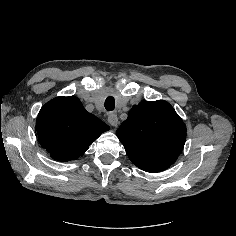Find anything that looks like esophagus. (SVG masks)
I'll return each instance as SVG.
<instances>
[{
  "mask_svg": "<svg viewBox=\"0 0 236 236\" xmlns=\"http://www.w3.org/2000/svg\"><path fill=\"white\" fill-rule=\"evenodd\" d=\"M108 122L113 126V127H117L118 125V117L115 113H110L108 115Z\"/></svg>",
  "mask_w": 236,
  "mask_h": 236,
  "instance_id": "34e87169",
  "label": "esophagus"
}]
</instances>
